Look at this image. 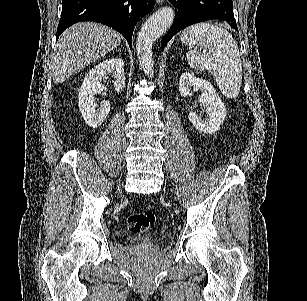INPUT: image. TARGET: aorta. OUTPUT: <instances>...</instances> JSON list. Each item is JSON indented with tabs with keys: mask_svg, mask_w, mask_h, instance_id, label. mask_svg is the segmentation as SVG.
Returning <instances> with one entry per match:
<instances>
[{
	"mask_svg": "<svg viewBox=\"0 0 307 301\" xmlns=\"http://www.w3.org/2000/svg\"><path fill=\"white\" fill-rule=\"evenodd\" d=\"M175 16L172 6H163L153 12L142 24L137 40L136 50L139 64L148 76H154V58L152 44L170 28Z\"/></svg>",
	"mask_w": 307,
	"mask_h": 301,
	"instance_id": "aorta-1",
	"label": "aorta"
}]
</instances>
